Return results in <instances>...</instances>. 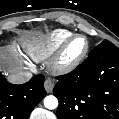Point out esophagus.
Segmentation results:
<instances>
[{
    "label": "esophagus",
    "instance_id": "esophagus-1",
    "mask_svg": "<svg viewBox=\"0 0 119 119\" xmlns=\"http://www.w3.org/2000/svg\"><path fill=\"white\" fill-rule=\"evenodd\" d=\"M44 87L47 93H51L54 88V82L51 79L47 78L44 82Z\"/></svg>",
    "mask_w": 119,
    "mask_h": 119
}]
</instances>
